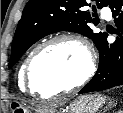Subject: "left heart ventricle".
Returning <instances> with one entry per match:
<instances>
[{
  "instance_id": "obj_1",
  "label": "left heart ventricle",
  "mask_w": 123,
  "mask_h": 113,
  "mask_svg": "<svg viewBox=\"0 0 123 113\" xmlns=\"http://www.w3.org/2000/svg\"><path fill=\"white\" fill-rule=\"evenodd\" d=\"M87 57L75 42H57L43 50L32 67V81L36 90L49 91L70 86L86 71Z\"/></svg>"
}]
</instances>
